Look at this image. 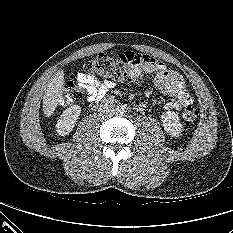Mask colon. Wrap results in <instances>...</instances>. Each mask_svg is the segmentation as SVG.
Masks as SVG:
<instances>
[{
	"instance_id": "5ec220e1",
	"label": "colon",
	"mask_w": 233,
	"mask_h": 233,
	"mask_svg": "<svg viewBox=\"0 0 233 233\" xmlns=\"http://www.w3.org/2000/svg\"><path fill=\"white\" fill-rule=\"evenodd\" d=\"M135 60L122 56L112 57L100 53L84 66L85 70L96 73L112 81L136 82L141 74L136 71ZM85 95L84 89L73 81L65 85L62 103L68 105L76 100L82 99ZM182 117L186 122H194L198 117V111L191 105L185 107Z\"/></svg>"
}]
</instances>
